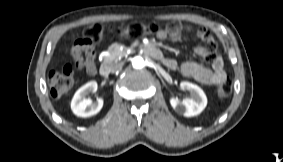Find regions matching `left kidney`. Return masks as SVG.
<instances>
[{"label": "left kidney", "instance_id": "obj_1", "mask_svg": "<svg viewBox=\"0 0 283 162\" xmlns=\"http://www.w3.org/2000/svg\"><path fill=\"white\" fill-rule=\"evenodd\" d=\"M180 88L190 93L187 97L180 101L177 97L170 99L172 108L180 115L192 117L200 114L207 105V98L204 91L196 84L188 81H182Z\"/></svg>", "mask_w": 283, "mask_h": 162}]
</instances>
